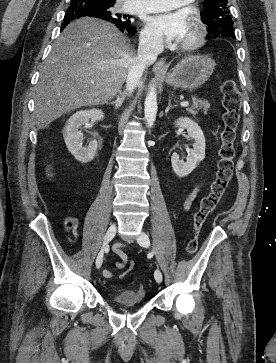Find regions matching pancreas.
Here are the masks:
<instances>
[{
	"label": "pancreas",
	"mask_w": 276,
	"mask_h": 363,
	"mask_svg": "<svg viewBox=\"0 0 276 363\" xmlns=\"http://www.w3.org/2000/svg\"><path fill=\"white\" fill-rule=\"evenodd\" d=\"M192 106L187 108V111L191 113L193 116L198 114V111H202L205 115L207 114L210 103L206 100L197 99L196 97L192 98Z\"/></svg>",
	"instance_id": "obj_1"
}]
</instances>
